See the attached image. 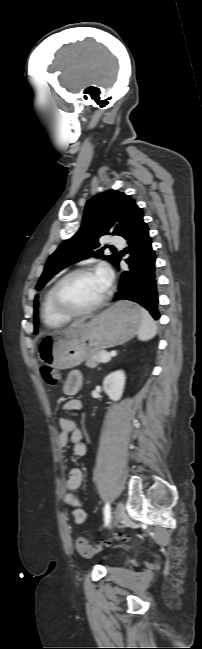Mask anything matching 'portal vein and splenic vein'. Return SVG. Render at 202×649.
Listing matches in <instances>:
<instances>
[{
    "label": "portal vein and splenic vein",
    "instance_id": "18ae733b",
    "mask_svg": "<svg viewBox=\"0 0 202 649\" xmlns=\"http://www.w3.org/2000/svg\"><path fill=\"white\" fill-rule=\"evenodd\" d=\"M110 359H111V356H110L109 353H102V354L100 355V360H101V362H103V363H107V362H109Z\"/></svg>",
    "mask_w": 202,
    "mask_h": 649
}]
</instances>
